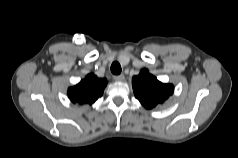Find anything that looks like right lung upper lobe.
<instances>
[{
  "label": "right lung upper lobe",
  "instance_id": "right-lung-upper-lobe-1",
  "mask_svg": "<svg viewBox=\"0 0 238 158\" xmlns=\"http://www.w3.org/2000/svg\"><path fill=\"white\" fill-rule=\"evenodd\" d=\"M106 85V79L98 78L90 73L76 86L68 89V97L73 103H88L91 105L102 96Z\"/></svg>",
  "mask_w": 238,
  "mask_h": 158
}]
</instances>
